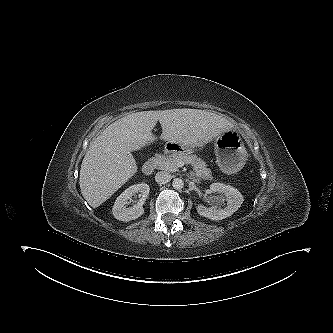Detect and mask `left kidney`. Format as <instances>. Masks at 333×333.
Masks as SVG:
<instances>
[{
    "mask_svg": "<svg viewBox=\"0 0 333 333\" xmlns=\"http://www.w3.org/2000/svg\"><path fill=\"white\" fill-rule=\"evenodd\" d=\"M210 189L213 192L222 193L224 195V198L217 199L218 203L224 204V202H226L225 208H218L216 205L209 208L201 204L197 206L198 214L211 220L217 221L231 216L240 208L244 201L242 194L230 185L213 183L210 185Z\"/></svg>",
    "mask_w": 333,
    "mask_h": 333,
    "instance_id": "obj_1",
    "label": "left kidney"
}]
</instances>
